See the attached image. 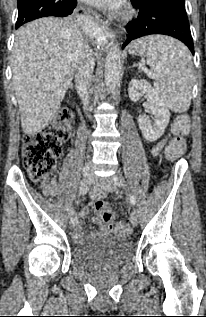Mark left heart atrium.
<instances>
[{"mask_svg":"<svg viewBox=\"0 0 206 317\" xmlns=\"http://www.w3.org/2000/svg\"><path fill=\"white\" fill-rule=\"evenodd\" d=\"M82 1L92 4L101 9L116 10L121 6L123 0H82Z\"/></svg>","mask_w":206,"mask_h":317,"instance_id":"obj_1","label":"left heart atrium"}]
</instances>
